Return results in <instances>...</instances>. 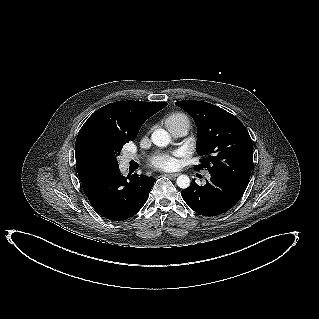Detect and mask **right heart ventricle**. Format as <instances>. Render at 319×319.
Instances as JSON below:
<instances>
[{
    "mask_svg": "<svg viewBox=\"0 0 319 319\" xmlns=\"http://www.w3.org/2000/svg\"><path fill=\"white\" fill-rule=\"evenodd\" d=\"M175 123H181L186 125L187 127H189V120L188 118L182 114V113H174L172 115H170L167 119H166V124L171 125V124H175Z\"/></svg>",
    "mask_w": 319,
    "mask_h": 319,
    "instance_id": "1",
    "label": "right heart ventricle"
}]
</instances>
